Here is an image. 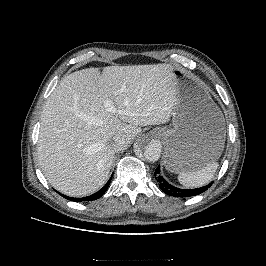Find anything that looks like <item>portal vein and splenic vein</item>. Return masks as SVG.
<instances>
[{"label":"portal vein and splenic vein","mask_w":266,"mask_h":266,"mask_svg":"<svg viewBox=\"0 0 266 266\" xmlns=\"http://www.w3.org/2000/svg\"><path fill=\"white\" fill-rule=\"evenodd\" d=\"M104 106H105V108H107V110L109 112H113V113L116 112V108H115V106L113 105V103L110 100H106L104 102Z\"/></svg>","instance_id":"obj_1"}]
</instances>
